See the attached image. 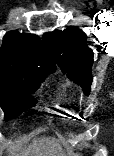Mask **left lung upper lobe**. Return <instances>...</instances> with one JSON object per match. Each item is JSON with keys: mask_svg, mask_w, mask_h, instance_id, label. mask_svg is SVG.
<instances>
[{"mask_svg": "<svg viewBox=\"0 0 114 156\" xmlns=\"http://www.w3.org/2000/svg\"><path fill=\"white\" fill-rule=\"evenodd\" d=\"M86 35L76 27L53 31L43 36L49 52L70 79L89 94L92 83L93 51L87 45Z\"/></svg>", "mask_w": 114, "mask_h": 156, "instance_id": "5c2ea615", "label": "left lung upper lobe"}]
</instances>
